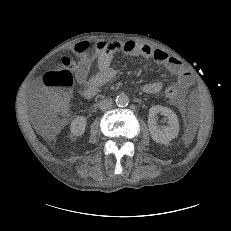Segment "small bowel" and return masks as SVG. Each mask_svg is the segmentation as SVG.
Returning a JSON list of instances; mask_svg holds the SVG:
<instances>
[{
	"label": "small bowel",
	"mask_w": 231,
	"mask_h": 231,
	"mask_svg": "<svg viewBox=\"0 0 231 231\" xmlns=\"http://www.w3.org/2000/svg\"><path fill=\"white\" fill-rule=\"evenodd\" d=\"M88 44H77L72 52L81 56L79 62H74L69 56L63 58V64L72 69L78 84L83 86L82 96L86 99L93 98L99 89L109 83L115 76L116 70L112 65L114 55L122 52L130 57L154 60L163 65L170 73L176 76L178 90L187 89L193 81L192 75L183 67L181 62L165 51L149 45H141L129 40L99 41L94 53L88 52ZM97 62V72L88 77L92 63ZM162 89L159 81L148 82L143 86L147 94L158 93Z\"/></svg>",
	"instance_id": "c3829d8e"
}]
</instances>
